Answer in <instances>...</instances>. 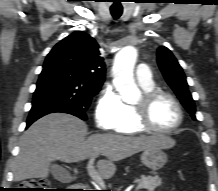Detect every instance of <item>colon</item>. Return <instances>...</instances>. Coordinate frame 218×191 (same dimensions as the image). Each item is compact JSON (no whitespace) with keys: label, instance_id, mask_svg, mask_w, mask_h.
I'll return each instance as SVG.
<instances>
[{"label":"colon","instance_id":"colon-1","mask_svg":"<svg viewBox=\"0 0 218 191\" xmlns=\"http://www.w3.org/2000/svg\"><path fill=\"white\" fill-rule=\"evenodd\" d=\"M49 189L47 181L43 179L30 180L21 185L19 191H51ZM64 191V190H59Z\"/></svg>","mask_w":218,"mask_h":191}]
</instances>
